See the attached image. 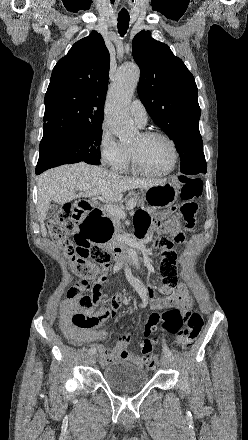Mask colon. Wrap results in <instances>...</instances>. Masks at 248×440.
<instances>
[{"label":"colon","mask_w":248,"mask_h":440,"mask_svg":"<svg viewBox=\"0 0 248 440\" xmlns=\"http://www.w3.org/2000/svg\"><path fill=\"white\" fill-rule=\"evenodd\" d=\"M180 182L182 204L178 211V219L172 220L165 233L156 236L153 241L160 257L177 258L175 244L184 240L183 229L193 227L197 219L198 207L194 200L201 194V182L187 176H181ZM79 218H85L84 211L76 205L65 204L50 220L48 228L51 238L69 258L73 272L80 277V280L69 288L67 302L85 310L98 303L97 281L104 276L103 272L107 271L110 256L102 247L92 245L88 241H75V244L70 241ZM72 323L77 327H87L91 320L83 312H76L72 316ZM202 326V317L190 310L170 308L161 314H151L144 325L145 339L141 344L146 365L152 368L157 363L153 354V341L149 336L158 327L167 333L176 334V344L182 349H187L200 333Z\"/></svg>","instance_id":"1"}]
</instances>
